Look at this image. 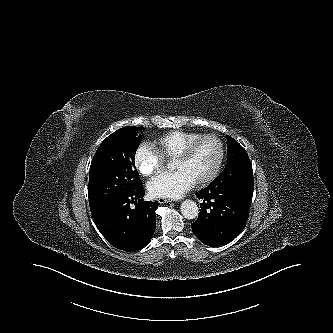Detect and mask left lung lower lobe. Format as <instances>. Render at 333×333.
Here are the masks:
<instances>
[{
  "instance_id": "1",
  "label": "left lung lower lobe",
  "mask_w": 333,
  "mask_h": 333,
  "mask_svg": "<svg viewBox=\"0 0 333 333\" xmlns=\"http://www.w3.org/2000/svg\"><path fill=\"white\" fill-rule=\"evenodd\" d=\"M195 195L203 203L197 220L191 226L202 243L225 245L242 232L249 216L251 196L233 189L228 179H215Z\"/></svg>"
}]
</instances>
